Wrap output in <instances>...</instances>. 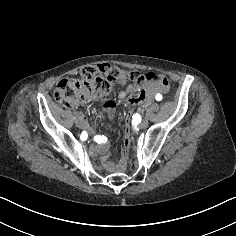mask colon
I'll use <instances>...</instances> for the list:
<instances>
[{
	"label": "colon",
	"instance_id": "colon-1",
	"mask_svg": "<svg viewBox=\"0 0 236 236\" xmlns=\"http://www.w3.org/2000/svg\"><path fill=\"white\" fill-rule=\"evenodd\" d=\"M120 78L135 83H150L157 86L168 85L165 77L153 72L140 74L136 71H126L108 64L88 65L80 70L79 77L62 79L54 90V98L64 107L72 109L87 98L107 94L113 83ZM131 115L132 112L129 111L126 117L123 142L125 156L128 155L131 144L129 128Z\"/></svg>",
	"mask_w": 236,
	"mask_h": 236
}]
</instances>
